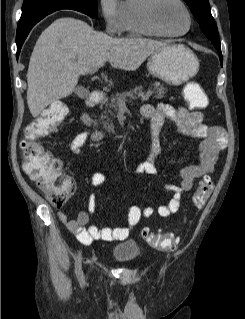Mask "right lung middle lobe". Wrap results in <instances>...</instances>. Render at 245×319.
<instances>
[{
    "label": "right lung middle lobe",
    "instance_id": "obj_1",
    "mask_svg": "<svg viewBox=\"0 0 245 319\" xmlns=\"http://www.w3.org/2000/svg\"><path fill=\"white\" fill-rule=\"evenodd\" d=\"M59 9H73L96 18L97 0H24L18 26L26 25L37 17H45Z\"/></svg>",
    "mask_w": 245,
    "mask_h": 319
}]
</instances>
